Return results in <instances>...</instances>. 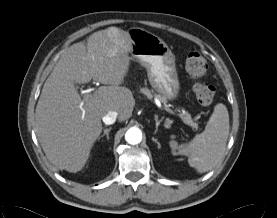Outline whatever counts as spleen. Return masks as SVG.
I'll list each match as a JSON object with an SVG mask.
<instances>
[{"mask_svg":"<svg viewBox=\"0 0 277 218\" xmlns=\"http://www.w3.org/2000/svg\"><path fill=\"white\" fill-rule=\"evenodd\" d=\"M229 128L228 110L224 104H217L205 130L188 144L180 145L178 154L188 156L190 166L199 173L211 170L223 157Z\"/></svg>","mask_w":277,"mask_h":218,"instance_id":"spleen-1","label":"spleen"}]
</instances>
